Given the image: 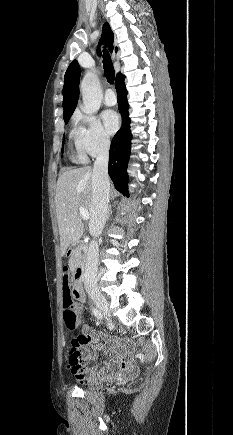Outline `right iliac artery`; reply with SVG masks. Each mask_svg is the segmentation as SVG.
Returning a JSON list of instances; mask_svg holds the SVG:
<instances>
[{"label":"right iliac artery","mask_w":233,"mask_h":435,"mask_svg":"<svg viewBox=\"0 0 233 435\" xmlns=\"http://www.w3.org/2000/svg\"><path fill=\"white\" fill-rule=\"evenodd\" d=\"M91 310L97 319L101 320L103 318V315L99 309L92 307Z\"/></svg>","instance_id":"1"}]
</instances>
